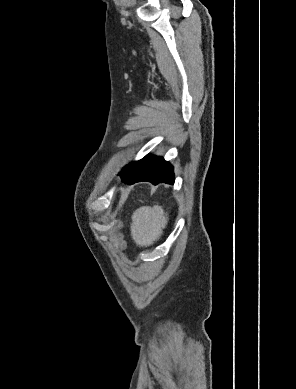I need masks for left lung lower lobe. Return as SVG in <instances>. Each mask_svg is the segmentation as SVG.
Instances as JSON below:
<instances>
[{"mask_svg":"<svg viewBox=\"0 0 296 389\" xmlns=\"http://www.w3.org/2000/svg\"><path fill=\"white\" fill-rule=\"evenodd\" d=\"M120 177L127 184L149 181L154 185L161 182L174 183L173 167L163 157L147 155L139 161L130 163L122 170Z\"/></svg>","mask_w":296,"mask_h":389,"instance_id":"left-lung-lower-lobe-1","label":"left lung lower lobe"}]
</instances>
